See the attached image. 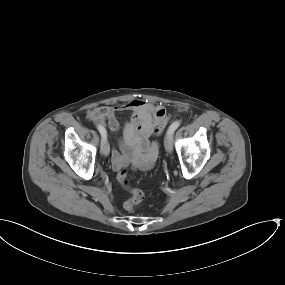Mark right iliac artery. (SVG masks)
Returning <instances> with one entry per match:
<instances>
[{"label":"right iliac artery","instance_id":"right-iliac-artery-1","mask_svg":"<svg viewBox=\"0 0 285 285\" xmlns=\"http://www.w3.org/2000/svg\"><path fill=\"white\" fill-rule=\"evenodd\" d=\"M97 129H98V131L100 132V134H101V136L102 137H106V130H105V128L103 127V126H101V125H97Z\"/></svg>","mask_w":285,"mask_h":285}]
</instances>
